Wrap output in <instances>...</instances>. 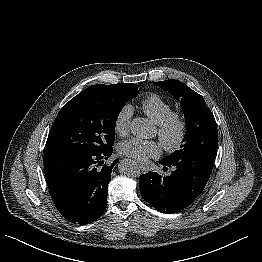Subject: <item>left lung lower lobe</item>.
<instances>
[{"label":"left lung lower lobe","mask_w":262,"mask_h":262,"mask_svg":"<svg viewBox=\"0 0 262 262\" xmlns=\"http://www.w3.org/2000/svg\"><path fill=\"white\" fill-rule=\"evenodd\" d=\"M160 164L167 169L173 167L170 176L162 177L149 171L140 176L139 187L142 197L158 211L176 213L188 207L204 190L211 175L213 164L179 162Z\"/></svg>","instance_id":"obj_1"}]
</instances>
